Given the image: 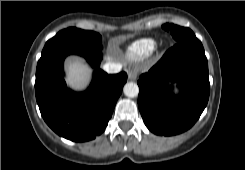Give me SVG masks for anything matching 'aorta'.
<instances>
[{
	"label": "aorta",
	"instance_id": "obj_1",
	"mask_svg": "<svg viewBox=\"0 0 245 170\" xmlns=\"http://www.w3.org/2000/svg\"><path fill=\"white\" fill-rule=\"evenodd\" d=\"M123 91L127 97H136L139 93V87L134 82H128L124 85Z\"/></svg>",
	"mask_w": 245,
	"mask_h": 170
}]
</instances>
